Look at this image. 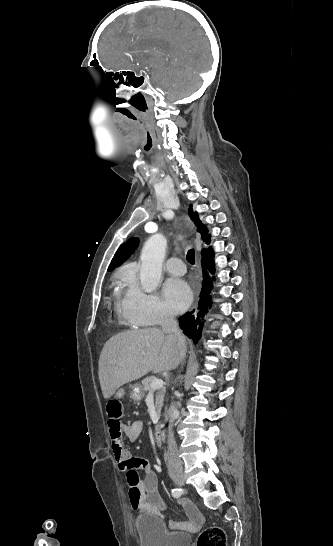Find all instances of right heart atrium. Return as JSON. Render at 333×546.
<instances>
[{
	"instance_id": "1",
	"label": "right heart atrium",
	"mask_w": 333,
	"mask_h": 546,
	"mask_svg": "<svg viewBox=\"0 0 333 546\" xmlns=\"http://www.w3.org/2000/svg\"><path fill=\"white\" fill-rule=\"evenodd\" d=\"M123 302L124 318L137 325H156L172 318L165 303L156 295L145 292L131 277Z\"/></svg>"
}]
</instances>
